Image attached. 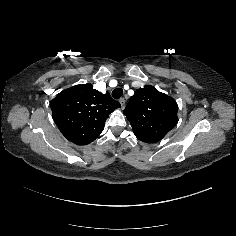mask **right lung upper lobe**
I'll list each match as a JSON object with an SVG mask.
<instances>
[{"mask_svg":"<svg viewBox=\"0 0 236 236\" xmlns=\"http://www.w3.org/2000/svg\"><path fill=\"white\" fill-rule=\"evenodd\" d=\"M121 107L109 93L102 94L91 84L75 85L51 101L54 121L61 133L77 145H87L103 131L109 114Z\"/></svg>","mask_w":236,"mask_h":236,"instance_id":"1","label":"right lung upper lobe"}]
</instances>
